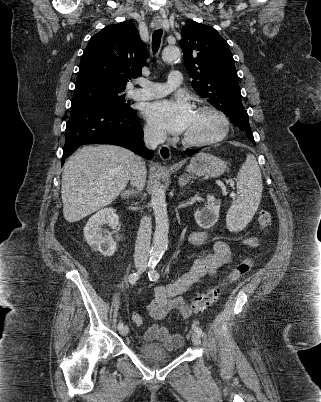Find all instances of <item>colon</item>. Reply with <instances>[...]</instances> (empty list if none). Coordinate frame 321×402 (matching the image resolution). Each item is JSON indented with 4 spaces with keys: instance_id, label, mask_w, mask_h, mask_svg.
Masks as SVG:
<instances>
[{
    "instance_id": "obj_1",
    "label": "colon",
    "mask_w": 321,
    "mask_h": 402,
    "mask_svg": "<svg viewBox=\"0 0 321 402\" xmlns=\"http://www.w3.org/2000/svg\"><path fill=\"white\" fill-rule=\"evenodd\" d=\"M272 222V217L269 211L267 210H262L258 214V224L261 229H266L271 225ZM253 265V259L250 257L244 258L241 260L238 264L235 265V267L230 271L224 282L221 284L214 286L207 291L203 292L200 294L198 297H196L190 306V311L198 312L202 311L205 308H207L209 305H211L219 296L223 286L231 281L236 280L242 275H245L246 273L249 272ZM133 321L137 325H141L143 322V319L140 314L135 313L133 315Z\"/></svg>"
}]
</instances>
